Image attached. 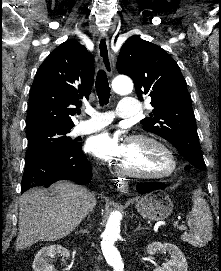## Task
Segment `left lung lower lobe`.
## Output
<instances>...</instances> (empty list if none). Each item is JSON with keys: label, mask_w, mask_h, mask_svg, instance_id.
Listing matches in <instances>:
<instances>
[{"label": "left lung lower lobe", "mask_w": 221, "mask_h": 271, "mask_svg": "<svg viewBox=\"0 0 221 271\" xmlns=\"http://www.w3.org/2000/svg\"><path fill=\"white\" fill-rule=\"evenodd\" d=\"M186 164V169H192V170H198L196 169L191 163L185 161ZM166 187V184L164 183H158V182H154V183H144L142 186L137 185V191L140 194H145L147 192H151L153 190H157V189H163Z\"/></svg>", "instance_id": "1"}]
</instances>
